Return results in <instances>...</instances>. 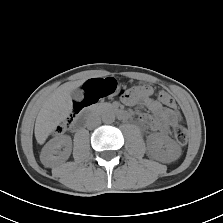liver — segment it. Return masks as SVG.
I'll list each match as a JSON object with an SVG mask.
<instances>
[{"instance_id":"1","label":"liver","mask_w":223,"mask_h":223,"mask_svg":"<svg viewBox=\"0 0 223 223\" xmlns=\"http://www.w3.org/2000/svg\"><path fill=\"white\" fill-rule=\"evenodd\" d=\"M82 83L83 81L64 83L44 101L35 123V138L39 144H43L50 133L70 115L71 91Z\"/></svg>"}]
</instances>
